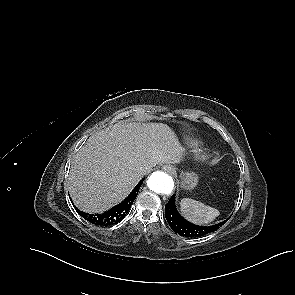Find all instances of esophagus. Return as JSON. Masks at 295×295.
<instances>
[{
    "label": "esophagus",
    "mask_w": 295,
    "mask_h": 295,
    "mask_svg": "<svg viewBox=\"0 0 295 295\" xmlns=\"http://www.w3.org/2000/svg\"><path fill=\"white\" fill-rule=\"evenodd\" d=\"M163 170L170 173V174L175 173V168L173 166H171V165H164Z\"/></svg>",
    "instance_id": "obj_1"
}]
</instances>
